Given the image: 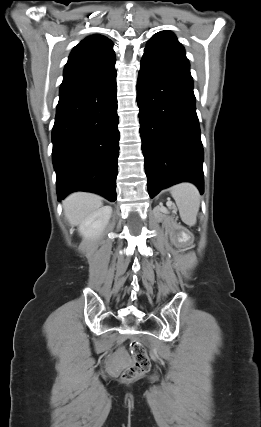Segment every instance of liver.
<instances>
[{"label":"liver","instance_id":"obj_1","mask_svg":"<svg viewBox=\"0 0 261 427\" xmlns=\"http://www.w3.org/2000/svg\"><path fill=\"white\" fill-rule=\"evenodd\" d=\"M65 216L73 225H80L88 216L102 206V199L96 194L75 192L62 202Z\"/></svg>","mask_w":261,"mask_h":427}]
</instances>
